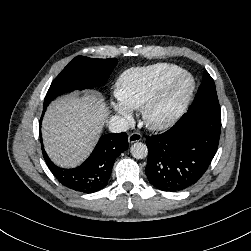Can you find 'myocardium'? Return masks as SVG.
Here are the masks:
<instances>
[{"label": "myocardium", "mask_w": 251, "mask_h": 251, "mask_svg": "<svg viewBox=\"0 0 251 251\" xmlns=\"http://www.w3.org/2000/svg\"><path fill=\"white\" fill-rule=\"evenodd\" d=\"M186 82L174 105L163 115L158 110ZM195 79L189 72L183 71L166 82L142 106L141 114L144 124L152 130H166L173 126L186 111L195 90Z\"/></svg>", "instance_id": "obj_1"}]
</instances>
